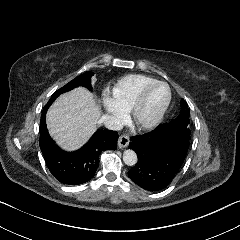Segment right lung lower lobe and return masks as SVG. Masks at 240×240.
<instances>
[{"instance_id":"right-lung-lower-lobe-1","label":"right lung lower lobe","mask_w":240,"mask_h":240,"mask_svg":"<svg viewBox=\"0 0 240 240\" xmlns=\"http://www.w3.org/2000/svg\"><path fill=\"white\" fill-rule=\"evenodd\" d=\"M46 112H42L40 120L39 145L49 171L63 184L88 182L99 166L100 154L105 150H116L118 133L111 130L97 131L81 149L66 152L51 139L46 128Z\"/></svg>"}]
</instances>
